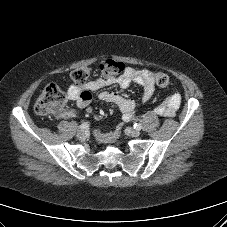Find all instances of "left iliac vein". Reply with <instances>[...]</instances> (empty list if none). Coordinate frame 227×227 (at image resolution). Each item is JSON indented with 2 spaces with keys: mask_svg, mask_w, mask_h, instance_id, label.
I'll list each match as a JSON object with an SVG mask.
<instances>
[{
  "mask_svg": "<svg viewBox=\"0 0 227 227\" xmlns=\"http://www.w3.org/2000/svg\"><path fill=\"white\" fill-rule=\"evenodd\" d=\"M125 132L132 137H138L140 135V131L133 128H126Z\"/></svg>",
  "mask_w": 227,
  "mask_h": 227,
  "instance_id": "4c4485c4",
  "label": "left iliac vein"
}]
</instances>
